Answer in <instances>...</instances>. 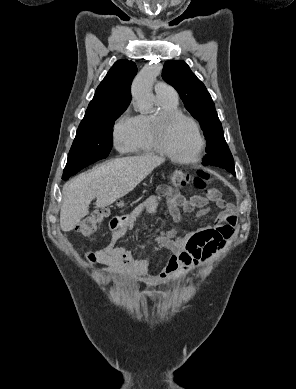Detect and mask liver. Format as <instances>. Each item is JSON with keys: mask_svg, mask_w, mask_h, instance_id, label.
I'll return each mask as SVG.
<instances>
[{"mask_svg": "<svg viewBox=\"0 0 296 389\" xmlns=\"http://www.w3.org/2000/svg\"><path fill=\"white\" fill-rule=\"evenodd\" d=\"M164 161L163 157L153 154L119 158L70 181L63 191L60 211L62 231L73 230L88 215L93 199L96 198L98 208L109 206L131 192Z\"/></svg>", "mask_w": 296, "mask_h": 389, "instance_id": "6515ba94", "label": "liver"}]
</instances>
